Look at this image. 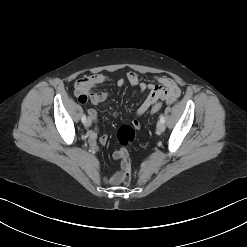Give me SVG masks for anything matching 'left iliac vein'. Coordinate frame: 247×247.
<instances>
[{"label": "left iliac vein", "mask_w": 247, "mask_h": 247, "mask_svg": "<svg viewBox=\"0 0 247 247\" xmlns=\"http://www.w3.org/2000/svg\"><path fill=\"white\" fill-rule=\"evenodd\" d=\"M157 131L160 132V133H162V132L165 131V124L163 122H161V121L158 122V124H157Z\"/></svg>", "instance_id": "obj_1"}]
</instances>
